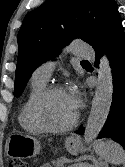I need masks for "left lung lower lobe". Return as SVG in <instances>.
<instances>
[{"mask_svg": "<svg viewBox=\"0 0 125 167\" xmlns=\"http://www.w3.org/2000/svg\"><path fill=\"white\" fill-rule=\"evenodd\" d=\"M96 53L95 66L105 53L110 61L113 78V100L107 120L97 138H109L125 149V35L121 18H117L105 38L93 46ZM84 134L81 125L75 132Z\"/></svg>", "mask_w": 125, "mask_h": 167, "instance_id": "left-lung-lower-lobe-1", "label": "left lung lower lobe"}]
</instances>
